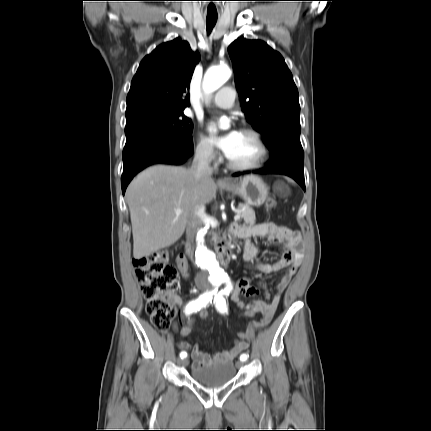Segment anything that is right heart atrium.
<instances>
[{"label":"right heart atrium","mask_w":431,"mask_h":431,"mask_svg":"<svg viewBox=\"0 0 431 431\" xmlns=\"http://www.w3.org/2000/svg\"><path fill=\"white\" fill-rule=\"evenodd\" d=\"M195 155L196 157L203 163L209 164L215 161L216 152L213 148V145L204 136H199L196 146H195Z\"/></svg>","instance_id":"right-heart-atrium-1"}]
</instances>
